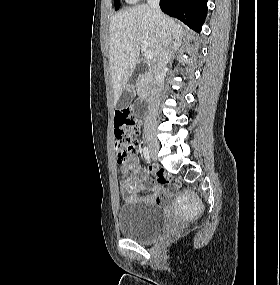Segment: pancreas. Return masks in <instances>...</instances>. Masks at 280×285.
I'll return each instance as SVG.
<instances>
[{
  "label": "pancreas",
  "instance_id": "cf45deb5",
  "mask_svg": "<svg viewBox=\"0 0 280 285\" xmlns=\"http://www.w3.org/2000/svg\"><path fill=\"white\" fill-rule=\"evenodd\" d=\"M148 84H149V81L147 78L142 79L139 84V88H140L139 92L145 94L149 88Z\"/></svg>",
  "mask_w": 280,
  "mask_h": 285
}]
</instances>
